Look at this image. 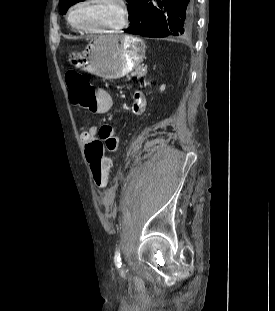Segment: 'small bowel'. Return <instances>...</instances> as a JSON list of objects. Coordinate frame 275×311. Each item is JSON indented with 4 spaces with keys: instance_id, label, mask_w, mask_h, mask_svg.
I'll return each instance as SVG.
<instances>
[{
    "instance_id": "obj_1",
    "label": "small bowel",
    "mask_w": 275,
    "mask_h": 311,
    "mask_svg": "<svg viewBox=\"0 0 275 311\" xmlns=\"http://www.w3.org/2000/svg\"><path fill=\"white\" fill-rule=\"evenodd\" d=\"M145 86L149 85L148 81L144 82ZM112 101L110 95L101 90L97 97L85 105V112H93L95 114H103L110 110ZM144 96L140 91H136L133 95V112L139 114L143 111ZM117 128L113 125H104L102 127L90 126L89 128L82 127L80 131V140L83 144H87L92 139L99 138L105 142L107 148L114 151L117 148L118 140L116 137Z\"/></svg>"
}]
</instances>
